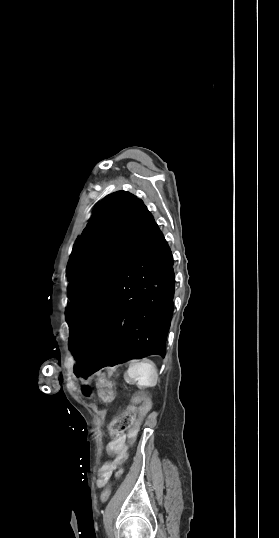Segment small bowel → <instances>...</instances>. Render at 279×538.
I'll return each instance as SVG.
<instances>
[{
    "mask_svg": "<svg viewBox=\"0 0 279 538\" xmlns=\"http://www.w3.org/2000/svg\"><path fill=\"white\" fill-rule=\"evenodd\" d=\"M85 394L87 396L89 395L88 392H86ZM113 445L116 447V451L119 454V459H118V461H119L125 456V452H126V436L123 435V436L119 437L118 439H116L113 442ZM106 483H107V481H105V482L98 481V485L100 487H103Z\"/></svg>",
    "mask_w": 279,
    "mask_h": 538,
    "instance_id": "small-bowel-1",
    "label": "small bowel"
}]
</instances>
